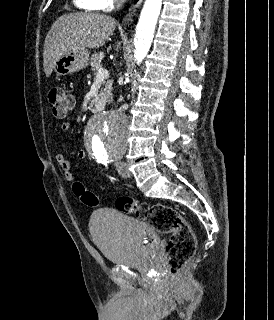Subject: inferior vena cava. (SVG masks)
<instances>
[{"label":"inferior vena cava","instance_id":"1","mask_svg":"<svg viewBox=\"0 0 274 320\" xmlns=\"http://www.w3.org/2000/svg\"><path fill=\"white\" fill-rule=\"evenodd\" d=\"M115 2L117 4V6H116L117 10H120V8H121L123 2H125V0H115Z\"/></svg>","mask_w":274,"mask_h":320}]
</instances>
